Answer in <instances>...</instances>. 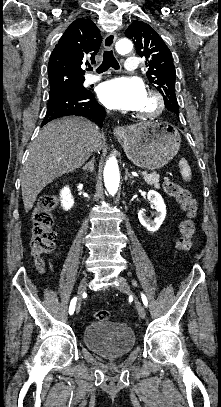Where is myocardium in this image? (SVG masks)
I'll return each instance as SVG.
<instances>
[{
  "mask_svg": "<svg viewBox=\"0 0 221 407\" xmlns=\"http://www.w3.org/2000/svg\"><path fill=\"white\" fill-rule=\"evenodd\" d=\"M146 96L151 101L150 109L146 111H138L137 116L140 118H154L162 113L165 107V102L162 94L155 89H149Z\"/></svg>",
  "mask_w": 221,
  "mask_h": 407,
  "instance_id": "1",
  "label": "myocardium"
}]
</instances>
